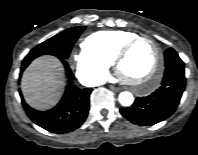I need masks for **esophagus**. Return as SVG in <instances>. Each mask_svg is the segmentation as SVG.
I'll return each instance as SVG.
<instances>
[{
    "instance_id": "obj_1",
    "label": "esophagus",
    "mask_w": 198,
    "mask_h": 155,
    "mask_svg": "<svg viewBox=\"0 0 198 155\" xmlns=\"http://www.w3.org/2000/svg\"><path fill=\"white\" fill-rule=\"evenodd\" d=\"M110 89H111L112 91H114V92H119V91L121 90L120 88L115 87V86H113V85L110 86Z\"/></svg>"
}]
</instances>
